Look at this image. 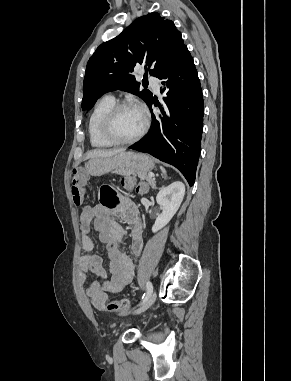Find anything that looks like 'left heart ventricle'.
<instances>
[{
  "instance_id": "b2bd125f",
  "label": "left heart ventricle",
  "mask_w": 291,
  "mask_h": 381,
  "mask_svg": "<svg viewBox=\"0 0 291 381\" xmlns=\"http://www.w3.org/2000/svg\"><path fill=\"white\" fill-rule=\"evenodd\" d=\"M144 116L137 107L121 110L115 117L112 130L119 139H130L139 133Z\"/></svg>"
}]
</instances>
